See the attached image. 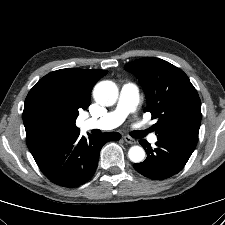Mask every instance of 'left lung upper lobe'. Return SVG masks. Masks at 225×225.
<instances>
[{
    "label": "left lung upper lobe",
    "mask_w": 225,
    "mask_h": 225,
    "mask_svg": "<svg viewBox=\"0 0 225 225\" xmlns=\"http://www.w3.org/2000/svg\"><path fill=\"white\" fill-rule=\"evenodd\" d=\"M140 80L147 100L144 112L158 118V139L194 150L201 123V101L187 75L159 58L146 57L125 65Z\"/></svg>",
    "instance_id": "1"
}]
</instances>
